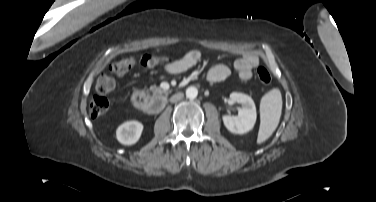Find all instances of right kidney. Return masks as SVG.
I'll return each mask as SVG.
<instances>
[{
	"mask_svg": "<svg viewBox=\"0 0 376 202\" xmlns=\"http://www.w3.org/2000/svg\"><path fill=\"white\" fill-rule=\"evenodd\" d=\"M142 130V123L134 120L127 121L117 128L116 137L121 144L132 145L139 140Z\"/></svg>",
	"mask_w": 376,
	"mask_h": 202,
	"instance_id": "ca27d5eb",
	"label": "right kidney"
}]
</instances>
